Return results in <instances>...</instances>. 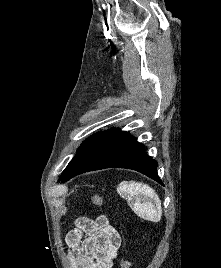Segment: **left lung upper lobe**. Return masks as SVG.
Returning <instances> with one entry per match:
<instances>
[{
	"label": "left lung upper lobe",
	"instance_id": "5c2ea615",
	"mask_svg": "<svg viewBox=\"0 0 221 268\" xmlns=\"http://www.w3.org/2000/svg\"><path fill=\"white\" fill-rule=\"evenodd\" d=\"M98 134H95L93 136H91L90 138H88L87 140H85L81 146L79 147L77 154L75 155V157L70 161V163L68 164L67 167H69L71 165V163L79 156V154L85 149V147L97 136ZM66 167V168H67ZM65 168V169H66Z\"/></svg>",
	"mask_w": 221,
	"mask_h": 268
}]
</instances>
